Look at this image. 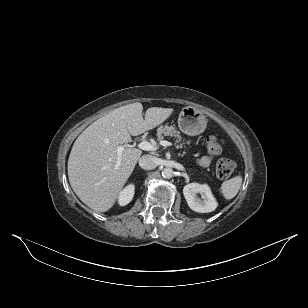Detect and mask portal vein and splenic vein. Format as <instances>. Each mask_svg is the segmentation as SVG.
I'll return each instance as SVG.
<instances>
[{
	"label": "portal vein and splenic vein",
	"mask_w": 308,
	"mask_h": 308,
	"mask_svg": "<svg viewBox=\"0 0 308 308\" xmlns=\"http://www.w3.org/2000/svg\"><path fill=\"white\" fill-rule=\"evenodd\" d=\"M159 144L162 145V146H165V147L171 145V143L166 141V140L161 141ZM138 147L142 150H145V151H156V150L159 149V145H152L148 141L140 142L138 144ZM123 150H124V146H118L117 147V154H118L119 158L121 157V153H122ZM117 165H119V161H118Z\"/></svg>",
	"instance_id": "1"
}]
</instances>
